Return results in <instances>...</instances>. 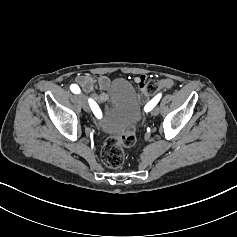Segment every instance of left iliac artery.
<instances>
[{"instance_id": "44dca946", "label": "left iliac artery", "mask_w": 237, "mask_h": 237, "mask_svg": "<svg viewBox=\"0 0 237 237\" xmlns=\"http://www.w3.org/2000/svg\"><path fill=\"white\" fill-rule=\"evenodd\" d=\"M161 98V93H159L158 95H156L152 100H150L146 105H145V111H151L159 102Z\"/></svg>"}]
</instances>
